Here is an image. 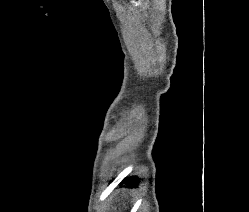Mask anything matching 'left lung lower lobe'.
<instances>
[{
	"mask_svg": "<svg viewBox=\"0 0 249 212\" xmlns=\"http://www.w3.org/2000/svg\"><path fill=\"white\" fill-rule=\"evenodd\" d=\"M138 181H137V179L135 178V177H131V178H129V179H127L126 181H125V183L127 184V186H129V187H133V186H136V183H137Z\"/></svg>",
	"mask_w": 249,
	"mask_h": 212,
	"instance_id": "left-lung-lower-lobe-1",
	"label": "left lung lower lobe"
}]
</instances>
